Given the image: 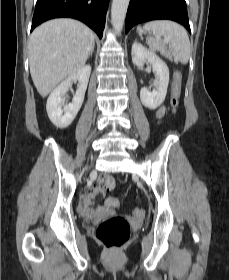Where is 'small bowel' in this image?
Instances as JSON below:
<instances>
[{
	"mask_svg": "<svg viewBox=\"0 0 229 280\" xmlns=\"http://www.w3.org/2000/svg\"><path fill=\"white\" fill-rule=\"evenodd\" d=\"M165 114V107L160 106L155 111V117L161 118ZM100 194H103L105 196V204L104 206H97L95 207L93 204V200L98 197ZM117 199L112 196L107 195V190L101 188L99 185H93L89 187L83 194H82V200L79 206V212L82 216L88 217V216H94V217H100L104 216L108 213H111L114 211V209L117 207V205L114 203Z\"/></svg>",
	"mask_w": 229,
	"mask_h": 280,
	"instance_id": "c3829d8e",
	"label": "small bowel"
}]
</instances>
